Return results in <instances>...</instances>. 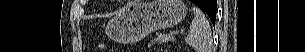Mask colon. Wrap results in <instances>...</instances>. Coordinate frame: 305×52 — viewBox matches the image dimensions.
I'll return each mask as SVG.
<instances>
[{
	"label": "colon",
	"instance_id": "obj_1",
	"mask_svg": "<svg viewBox=\"0 0 305 52\" xmlns=\"http://www.w3.org/2000/svg\"><path fill=\"white\" fill-rule=\"evenodd\" d=\"M102 47L105 48V44H102Z\"/></svg>",
	"mask_w": 305,
	"mask_h": 52
}]
</instances>
